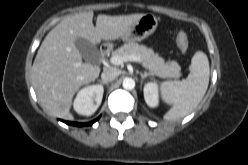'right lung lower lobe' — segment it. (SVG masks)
<instances>
[{"mask_svg":"<svg viewBox=\"0 0 248 165\" xmlns=\"http://www.w3.org/2000/svg\"><path fill=\"white\" fill-rule=\"evenodd\" d=\"M98 119L92 121V122H89V123H77V122H69V121H63L65 122L66 124H69V125H73V126H85V125H92L94 122H96Z\"/></svg>","mask_w":248,"mask_h":165,"instance_id":"right-lung-lower-lobe-1","label":"right lung lower lobe"}]
</instances>
